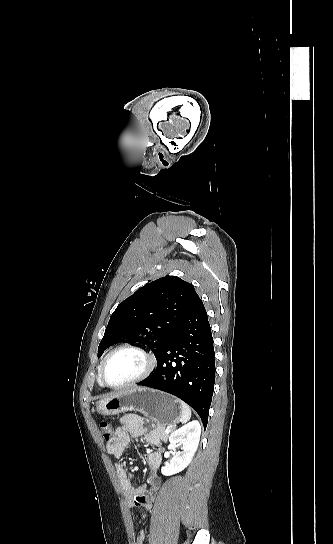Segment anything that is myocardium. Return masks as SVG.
I'll use <instances>...</instances> for the list:
<instances>
[{"label":"myocardium","instance_id":"obj_1","mask_svg":"<svg viewBox=\"0 0 333 544\" xmlns=\"http://www.w3.org/2000/svg\"><path fill=\"white\" fill-rule=\"evenodd\" d=\"M125 350L133 351V352H136V353L140 354L143 357L144 362H145L144 368H143V370L141 371V373L139 375L132 378L131 380H129L127 382H124V383H121V384L112 385V384L108 383L106 378H105L104 372H105L106 365H107L108 361L110 360V358L114 354H116V353H118L120 351H125ZM156 365H157V361H156L155 356L153 354H151L149 351H147L146 349H144L143 347L135 345V344H122V345H119L118 347L114 348L113 350H111L105 356V358L103 359V361H102V363L100 365V368H99V380H100L102 385H104L106 387H109V388H112V389L126 388V387H129V386L135 385L137 383H140L143 380H145L146 378H148L150 376V374L154 371Z\"/></svg>","mask_w":333,"mask_h":544}]
</instances>
